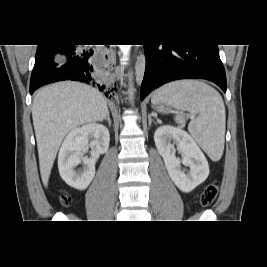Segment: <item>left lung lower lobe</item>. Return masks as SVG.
Masks as SVG:
<instances>
[{"mask_svg": "<svg viewBox=\"0 0 267 267\" xmlns=\"http://www.w3.org/2000/svg\"><path fill=\"white\" fill-rule=\"evenodd\" d=\"M144 50L141 100L167 82L186 78L210 80L226 92V75L217 45H144Z\"/></svg>", "mask_w": 267, "mask_h": 267, "instance_id": "0a47b994", "label": "left lung lower lobe"}]
</instances>
